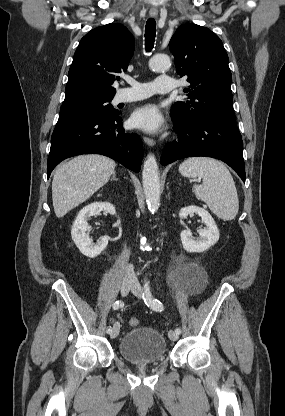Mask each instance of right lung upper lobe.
<instances>
[{"mask_svg":"<svg viewBox=\"0 0 285 416\" xmlns=\"http://www.w3.org/2000/svg\"><path fill=\"white\" fill-rule=\"evenodd\" d=\"M134 37L122 24L110 23L86 34L69 69L65 100L113 98L114 81L127 70Z\"/></svg>","mask_w":285,"mask_h":416,"instance_id":"cb5924a9","label":"right lung upper lobe"}]
</instances>
